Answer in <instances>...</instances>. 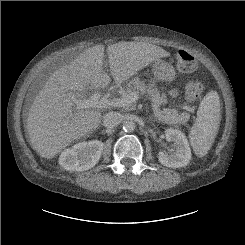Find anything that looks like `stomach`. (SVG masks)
I'll use <instances>...</instances> for the list:
<instances>
[{
	"label": "stomach",
	"instance_id": "1",
	"mask_svg": "<svg viewBox=\"0 0 245 245\" xmlns=\"http://www.w3.org/2000/svg\"><path fill=\"white\" fill-rule=\"evenodd\" d=\"M152 72L154 77L160 81H172L175 77L174 67L160 58L154 61Z\"/></svg>",
	"mask_w": 245,
	"mask_h": 245
}]
</instances>
